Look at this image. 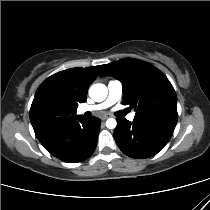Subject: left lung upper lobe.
<instances>
[{"label": "left lung upper lobe", "instance_id": "obj_1", "mask_svg": "<svg viewBox=\"0 0 210 210\" xmlns=\"http://www.w3.org/2000/svg\"><path fill=\"white\" fill-rule=\"evenodd\" d=\"M106 75L121 81L123 104L136 109L134 119L177 123V96L159 69L145 61L126 58L103 65L100 76Z\"/></svg>", "mask_w": 210, "mask_h": 210}]
</instances>
